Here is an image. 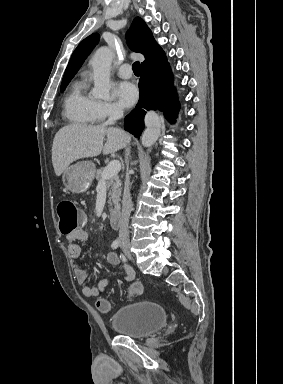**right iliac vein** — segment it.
<instances>
[{"label": "right iliac vein", "instance_id": "obj_1", "mask_svg": "<svg viewBox=\"0 0 283 384\" xmlns=\"http://www.w3.org/2000/svg\"><path fill=\"white\" fill-rule=\"evenodd\" d=\"M124 251L130 256V252L128 249H125Z\"/></svg>", "mask_w": 283, "mask_h": 384}]
</instances>
